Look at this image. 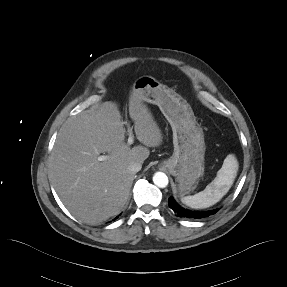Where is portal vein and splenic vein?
Returning a JSON list of instances; mask_svg holds the SVG:
<instances>
[{
  "label": "portal vein and splenic vein",
  "mask_w": 287,
  "mask_h": 287,
  "mask_svg": "<svg viewBox=\"0 0 287 287\" xmlns=\"http://www.w3.org/2000/svg\"><path fill=\"white\" fill-rule=\"evenodd\" d=\"M133 142H134V137H133L131 130L129 129V137H128L127 144L131 145V144H133ZM108 158H109L108 155H101L97 159H98V161H104V160H107Z\"/></svg>",
  "instance_id": "portal-vein-and-splenic-vein-1"
}]
</instances>
